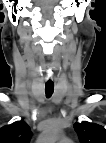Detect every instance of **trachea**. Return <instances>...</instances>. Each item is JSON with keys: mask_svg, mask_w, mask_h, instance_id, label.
I'll use <instances>...</instances> for the list:
<instances>
[{"mask_svg": "<svg viewBox=\"0 0 106 143\" xmlns=\"http://www.w3.org/2000/svg\"><path fill=\"white\" fill-rule=\"evenodd\" d=\"M54 92V84H45V93L47 97H50Z\"/></svg>", "mask_w": 106, "mask_h": 143, "instance_id": "1", "label": "trachea"}]
</instances>
